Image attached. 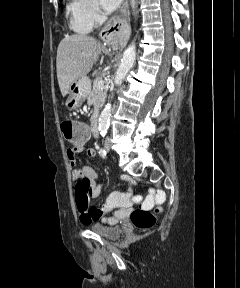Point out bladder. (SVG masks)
Segmentation results:
<instances>
[{
  "mask_svg": "<svg viewBox=\"0 0 240 288\" xmlns=\"http://www.w3.org/2000/svg\"><path fill=\"white\" fill-rule=\"evenodd\" d=\"M90 229L97 235L108 239H116L120 235V230L116 226L95 224Z\"/></svg>",
  "mask_w": 240,
  "mask_h": 288,
  "instance_id": "obj_1",
  "label": "bladder"
}]
</instances>
